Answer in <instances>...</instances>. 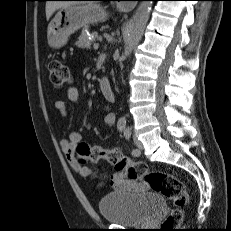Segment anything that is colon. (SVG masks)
<instances>
[{
	"instance_id": "5ec220e1",
	"label": "colon",
	"mask_w": 231,
	"mask_h": 231,
	"mask_svg": "<svg viewBox=\"0 0 231 231\" xmlns=\"http://www.w3.org/2000/svg\"><path fill=\"white\" fill-rule=\"evenodd\" d=\"M50 73L51 82L56 87L67 86L72 81L70 69L59 60L51 62ZM76 150L80 160L92 163L106 161L127 180L140 179L151 190L172 201L175 208L165 220L163 231H174L180 225L183 220L182 207L188 202V193L182 181L176 176L164 171H151L146 163L130 160L117 148L104 149L81 142L77 144Z\"/></svg>"
}]
</instances>
